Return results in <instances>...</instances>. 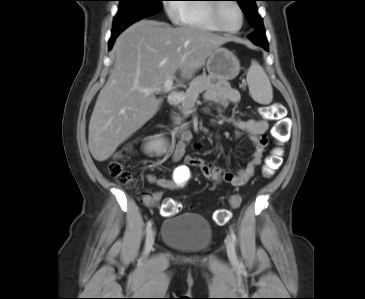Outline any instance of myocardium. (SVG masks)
Masks as SVG:
<instances>
[{"label": "myocardium", "instance_id": "myocardium-1", "mask_svg": "<svg viewBox=\"0 0 365 299\" xmlns=\"http://www.w3.org/2000/svg\"><path fill=\"white\" fill-rule=\"evenodd\" d=\"M216 1H218V2H215L212 4L211 20L215 24L218 31L223 32V33H229V34H234V33L239 32L243 28L244 23H245V12H244L242 6L240 5V3L237 0H228V1H230V3H233L238 8V10L240 12V16H241V23H240L239 27L236 29H229V28L222 26L220 23L221 9L224 6V4L229 3V2H223V1H227V0H216Z\"/></svg>", "mask_w": 365, "mask_h": 299}]
</instances>
